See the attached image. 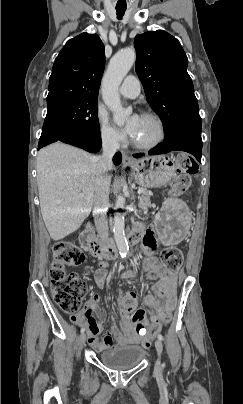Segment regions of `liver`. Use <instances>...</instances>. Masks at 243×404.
I'll list each match as a JSON object with an SVG mask.
<instances>
[{
	"label": "liver",
	"mask_w": 243,
	"mask_h": 404,
	"mask_svg": "<svg viewBox=\"0 0 243 404\" xmlns=\"http://www.w3.org/2000/svg\"><path fill=\"white\" fill-rule=\"evenodd\" d=\"M36 162L44 224L52 240H62L76 232L92 210L98 158L56 142L40 150Z\"/></svg>",
	"instance_id": "liver-1"
}]
</instances>
